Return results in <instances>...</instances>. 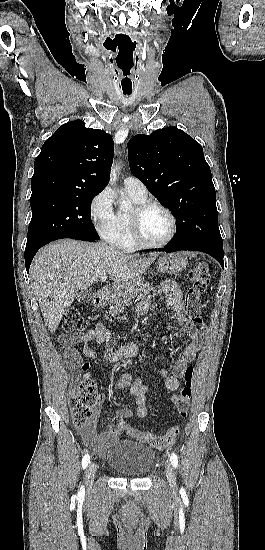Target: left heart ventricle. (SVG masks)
<instances>
[{
    "instance_id": "b2bd125f",
    "label": "left heart ventricle",
    "mask_w": 265,
    "mask_h": 550,
    "mask_svg": "<svg viewBox=\"0 0 265 550\" xmlns=\"http://www.w3.org/2000/svg\"><path fill=\"white\" fill-rule=\"evenodd\" d=\"M170 232V219L160 209L148 210L141 221V233L143 238L151 243L164 241Z\"/></svg>"
}]
</instances>
